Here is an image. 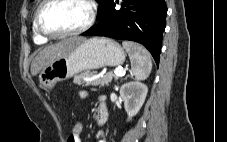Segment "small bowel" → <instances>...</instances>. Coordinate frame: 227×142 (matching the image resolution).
<instances>
[{"instance_id": "small-bowel-1", "label": "small bowel", "mask_w": 227, "mask_h": 142, "mask_svg": "<svg viewBox=\"0 0 227 142\" xmlns=\"http://www.w3.org/2000/svg\"><path fill=\"white\" fill-rule=\"evenodd\" d=\"M81 95L84 97V96H86V93L82 92ZM101 100H103V98H101ZM97 137L100 138L98 140V142H108L107 139L104 137V134L102 132H98ZM67 142H81V137L80 138H74L71 135H69L68 138H67Z\"/></svg>"}]
</instances>
